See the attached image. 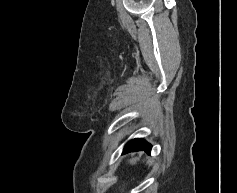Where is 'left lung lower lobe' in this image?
I'll list each match as a JSON object with an SVG mask.
<instances>
[{
    "mask_svg": "<svg viewBox=\"0 0 237 193\" xmlns=\"http://www.w3.org/2000/svg\"><path fill=\"white\" fill-rule=\"evenodd\" d=\"M139 150H144L148 154H150L151 145L143 139H134L127 143V145L124 148L123 153L131 152V151H139Z\"/></svg>",
    "mask_w": 237,
    "mask_h": 193,
    "instance_id": "0a47b994",
    "label": "left lung lower lobe"
}]
</instances>
